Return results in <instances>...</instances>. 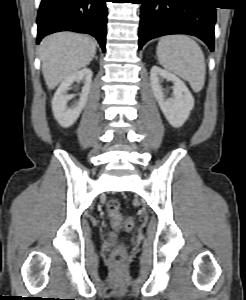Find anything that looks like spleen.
<instances>
[{
	"label": "spleen",
	"mask_w": 246,
	"mask_h": 300,
	"mask_svg": "<svg viewBox=\"0 0 246 300\" xmlns=\"http://www.w3.org/2000/svg\"><path fill=\"white\" fill-rule=\"evenodd\" d=\"M157 57L161 66L189 82L194 92L202 90L206 65L196 41L186 35H167L160 39Z\"/></svg>",
	"instance_id": "spleen-1"
}]
</instances>
